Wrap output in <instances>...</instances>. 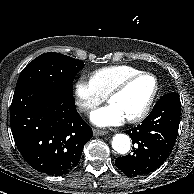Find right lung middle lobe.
Returning <instances> with one entry per match:
<instances>
[{
	"label": "right lung middle lobe",
	"mask_w": 194,
	"mask_h": 194,
	"mask_svg": "<svg viewBox=\"0 0 194 194\" xmlns=\"http://www.w3.org/2000/svg\"><path fill=\"white\" fill-rule=\"evenodd\" d=\"M81 60L55 53H44L21 72L15 90L44 87L62 95H73V80L84 67Z\"/></svg>",
	"instance_id": "right-lung-middle-lobe-1"
}]
</instances>
